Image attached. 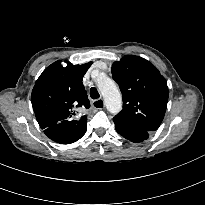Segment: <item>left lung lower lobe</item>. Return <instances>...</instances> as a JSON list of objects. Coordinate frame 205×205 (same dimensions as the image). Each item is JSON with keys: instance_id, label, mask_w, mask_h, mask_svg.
Masks as SVG:
<instances>
[{"instance_id": "1", "label": "left lung lower lobe", "mask_w": 205, "mask_h": 205, "mask_svg": "<svg viewBox=\"0 0 205 205\" xmlns=\"http://www.w3.org/2000/svg\"><path fill=\"white\" fill-rule=\"evenodd\" d=\"M113 121L115 123L116 131L121 136L134 143L142 142L149 137L150 131L128 124L117 118H113Z\"/></svg>"}]
</instances>
